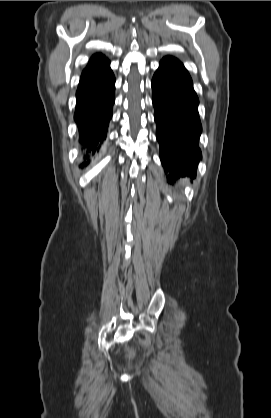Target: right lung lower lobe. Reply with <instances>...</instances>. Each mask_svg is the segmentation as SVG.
I'll return each instance as SVG.
<instances>
[{"label":"right lung lower lobe","mask_w":271,"mask_h":418,"mask_svg":"<svg viewBox=\"0 0 271 418\" xmlns=\"http://www.w3.org/2000/svg\"><path fill=\"white\" fill-rule=\"evenodd\" d=\"M115 77L109 61H103L82 73L76 92V111L80 142L86 152L99 151L100 143L106 138L115 100ZM87 155L84 157V160ZM84 161L81 167L88 164Z\"/></svg>","instance_id":"right-lung-lower-lobe-1"}]
</instances>
